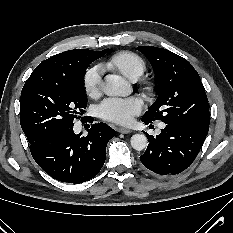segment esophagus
Wrapping results in <instances>:
<instances>
[{"mask_svg":"<svg viewBox=\"0 0 233 233\" xmlns=\"http://www.w3.org/2000/svg\"><path fill=\"white\" fill-rule=\"evenodd\" d=\"M118 132H119V133H122V134H128V133L131 132V130L128 129V128H123V127H121V128L118 129Z\"/></svg>","mask_w":233,"mask_h":233,"instance_id":"1","label":"esophagus"}]
</instances>
